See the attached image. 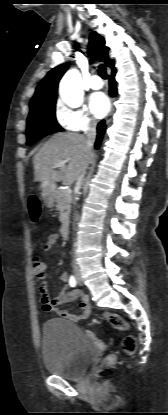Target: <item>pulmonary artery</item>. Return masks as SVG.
<instances>
[{
  "mask_svg": "<svg viewBox=\"0 0 168 415\" xmlns=\"http://www.w3.org/2000/svg\"><path fill=\"white\" fill-rule=\"evenodd\" d=\"M89 86L93 90H99L103 87V81L97 74H94L90 77Z\"/></svg>",
  "mask_w": 168,
  "mask_h": 415,
  "instance_id": "e3ab8cb5",
  "label": "pulmonary artery"
}]
</instances>
